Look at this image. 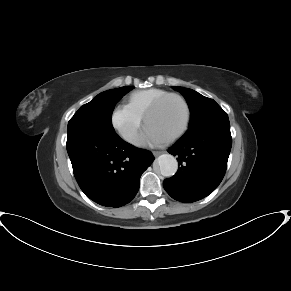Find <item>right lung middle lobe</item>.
<instances>
[{"instance_id":"1","label":"right lung middle lobe","mask_w":291,"mask_h":291,"mask_svg":"<svg viewBox=\"0 0 291 291\" xmlns=\"http://www.w3.org/2000/svg\"><path fill=\"white\" fill-rule=\"evenodd\" d=\"M131 89L132 86H127L98 94L89 103L81 106L70 119L68 132L72 130L115 132L111 121L114 106Z\"/></svg>"}]
</instances>
